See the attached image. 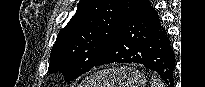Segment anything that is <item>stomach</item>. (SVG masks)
I'll list each match as a JSON object with an SVG mask.
<instances>
[{
	"label": "stomach",
	"instance_id": "0dacf381",
	"mask_svg": "<svg viewBox=\"0 0 205 87\" xmlns=\"http://www.w3.org/2000/svg\"><path fill=\"white\" fill-rule=\"evenodd\" d=\"M146 82L139 70L123 66L94 72L81 87H145Z\"/></svg>",
	"mask_w": 205,
	"mask_h": 87
}]
</instances>
